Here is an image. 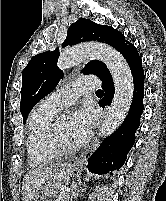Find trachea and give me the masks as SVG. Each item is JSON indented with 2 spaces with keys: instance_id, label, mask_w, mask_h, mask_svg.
<instances>
[{
  "instance_id": "1",
  "label": "trachea",
  "mask_w": 166,
  "mask_h": 201,
  "mask_svg": "<svg viewBox=\"0 0 166 201\" xmlns=\"http://www.w3.org/2000/svg\"><path fill=\"white\" fill-rule=\"evenodd\" d=\"M97 94H103V91L101 89L96 91Z\"/></svg>"
}]
</instances>
